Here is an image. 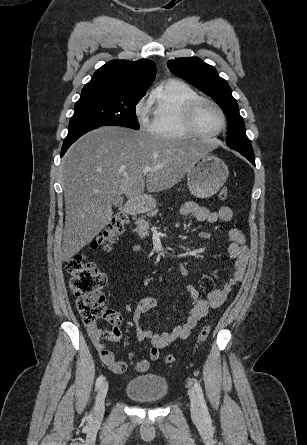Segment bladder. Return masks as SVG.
I'll list each match as a JSON object with an SVG mask.
<instances>
[{
	"instance_id": "31cf9c89",
	"label": "bladder",
	"mask_w": 307,
	"mask_h": 445,
	"mask_svg": "<svg viewBox=\"0 0 307 445\" xmlns=\"http://www.w3.org/2000/svg\"><path fill=\"white\" fill-rule=\"evenodd\" d=\"M169 390L167 380L157 374L147 373L131 378L125 387L126 395L143 404H157L163 401Z\"/></svg>"
}]
</instances>
